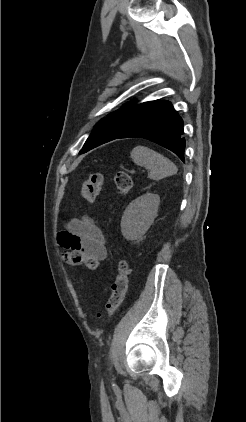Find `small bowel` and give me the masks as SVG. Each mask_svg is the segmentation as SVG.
<instances>
[{
  "label": "small bowel",
  "instance_id": "c3829d8e",
  "mask_svg": "<svg viewBox=\"0 0 246 422\" xmlns=\"http://www.w3.org/2000/svg\"><path fill=\"white\" fill-rule=\"evenodd\" d=\"M59 245L67 251L79 250L98 262L107 258L102 231L89 217L76 218L58 233Z\"/></svg>",
  "mask_w": 246,
  "mask_h": 422
}]
</instances>
